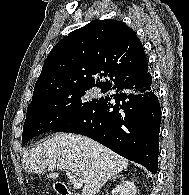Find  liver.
Masks as SVG:
<instances>
[{
  "instance_id": "6515ba94",
  "label": "liver",
  "mask_w": 189,
  "mask_h": 195,
  "mask_svg": "<svg viewBox=\"0 0 189 195\" xmlns=\"http://www.w3.org/2000/svg\"><path fill=\"white\" fill-rule=\"evenodd\" d=\"M22 163L27 172L41 174L47 166L70 171L84 181L81 195H95L129 161L88 137L58 133L26 151ZM58 176L57 172L47 174L51 179Z\"/></svg>"
}]
</instances>
